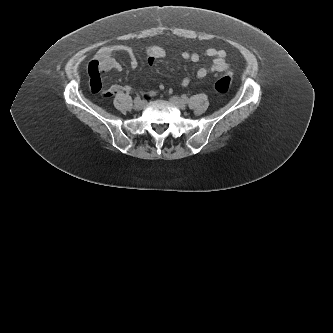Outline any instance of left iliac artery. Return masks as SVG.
<instances>
[{
  "mask_svg": "<svg viewBox=\"0 0 333 333\" xmlns=\"http://www.w3.org/2000/svg\"><path fill=\"white\" fill-rule=\"evenodd\" d=\"M182 98H183L184 100H187V97H186V95H183V96H182Z\"/></svg>",
  "mask_w": 333,
  "mask_h": 333,
  "instance_id": "left-iliac-artery-1",
  "label": "left iliac artery"
}]
</instances>
